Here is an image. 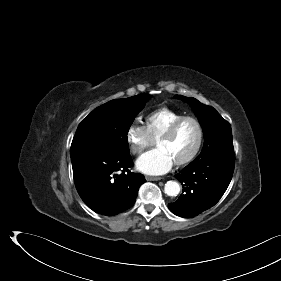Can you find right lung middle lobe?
I'll return each mask as SVG.
<instances>
[{
	"mask_svg": "<svg viewBox=\"0 0 281 281\" xmlns=\"http://www.w3.org/2000/svg\"><path fill=\"white\" fill-rule=\"evenodd\" d=\"M149 98V94H140L116 99L93 110L77 128L70 149L72 161L94 155L129 154V128Z\"/></svg>",
	"mask_w": 281,
	"mask_h": 281,
	"instance_id": "obj_1",
	"label": "right lung middle lobe"
}]
</instances>
